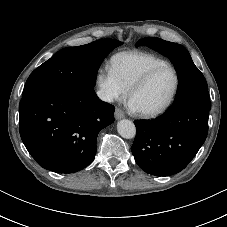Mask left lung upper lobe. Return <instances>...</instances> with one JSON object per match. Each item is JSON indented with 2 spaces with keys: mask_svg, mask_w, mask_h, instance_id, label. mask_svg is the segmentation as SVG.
Masks as SVG:
<instances>
[{
  "mask_svg": "<svg viewBox=\"0 0 227 227\" xmlns=\"http://www.w3.org/2000/svg\"><path fill=\"white\" fill-rule=\"evenodd\" d=\"M146 45L167 56L178 72V90L174 103L168 110L197 107L210 110L208 87L203 74L193 63L189 52L180 44L160 38L139 40L136 46Z\"/></svg>",
  "mask_w": 227,
  "mask_h": 227,
  "instance_id": "5c2ea615",
  "label": "left lung upper lobe"
}]
</instances>
